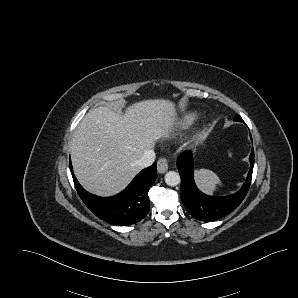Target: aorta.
<instances>
[{
    "label": "aorta",
    "mask_w": 298,
    "mask_h": 298,
    "mask_svg": "<svg viewBox=\"0 0 298 298\" xmlns=\"http://www.w3.org/2000/svg\"><path fill=\"white\" fill-rule=\"evenodd\" d=\"M164 181L166 185L174 187L181 183V176L176 171H168L164 175Z\"/></svg>",
    "instance_id": "obj_1"
}]
</instances>
